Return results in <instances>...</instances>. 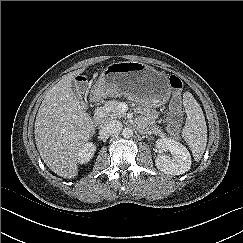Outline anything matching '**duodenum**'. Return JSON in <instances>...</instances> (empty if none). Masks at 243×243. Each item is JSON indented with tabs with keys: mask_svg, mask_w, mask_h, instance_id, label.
I'll list each match as a JSON object with an SVG mask.
<instances>
[{
	"mask_svg": "<svg viewBox=\"0 0 243 243\" xmlns=\"http://www.w3.org/2000/svg\"><path fill=\"white\" fill-rule=\"evenodd\" d=\"M103 113L102 111L100 110H96L93 114V121L96 123V124H101L102 121H103Z\"/></svg>",
	"mask_w": 243,
	"mask_h": 243,
	"instance_id": "duodenum-1",
	"label": "duodenum"
}]
</instances>
